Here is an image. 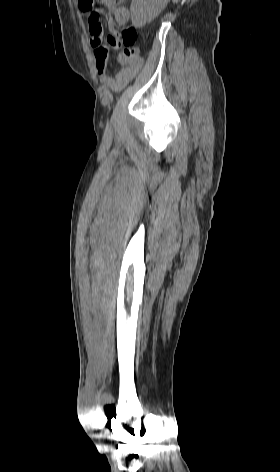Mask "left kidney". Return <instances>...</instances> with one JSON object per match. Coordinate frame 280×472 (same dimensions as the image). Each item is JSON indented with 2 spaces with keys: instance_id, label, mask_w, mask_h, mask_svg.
<instances>
[{
  "instance_id": "obj_1",
  "label": "left kidney",
  "mask_w": 280,
  "mask_h": 472,
  "mask_svg": "<svg viewBox=\"0 0 280 472\" xmlns=\"http://www.w3.org/2000/svg\"><path fill=\"white\" fill-rule=\"evenodd\" d=\"M163 0H132L131 20L135 27L151 22L162 10Z\"/></svg>"
}]
</instances>
